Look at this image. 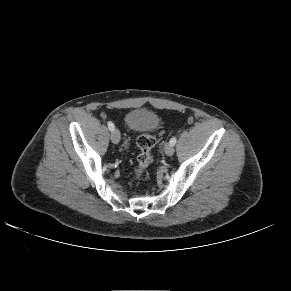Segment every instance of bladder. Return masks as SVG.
<instances>
[{
	"label": "bladder",
	"mask_w": 291,
	"mask_h": 291,
	"mask_svg": "<svg viewBox=\"0 0 291 291\" xmlns=\"http://www.w3.org/2000/svg\"><path fill=\"white\" fill-rule=\"evenodd\" d=\"M125 123L133 132H147L157 127L159 118L150 110L134 109L126 114Z\"/></svg>",
	"instance_id": "31cf9c89"
}]
</instances>
